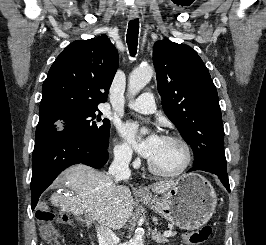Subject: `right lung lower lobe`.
Segmentation results:
<instances>
[{"mask_svg":"<svg viewBox=\"0 0 266 245\" xmlns=\"http://www.w3.org/2000/svg\"><path fill=\"white\" fill-rule=\"evenodd\" d=\"M107 160V148L96 146L70 133L57 132L36 140L32 158V210L41 193L65 168L83 163L98 169Z\"/></svg>","mask_w":266,"mask_h":245,"instance_id":"right-lung-lower-lobe-1","label":"right lung lower lobe"}]
</instances>
